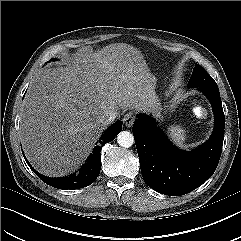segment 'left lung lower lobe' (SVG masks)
I'll return each mask as SVG.
<instances>
[{"instance_id": "left-lung-lower-lobe-1", "label": "left lung lower lobe", "mask_w": 241, "mask_h": 241, "mask_svg": "<svg viewBox=\"0 0 241 241\" xmlns=\"http://www.w3.org/2000/svg\"><path fill=\"white\" fill-rule=\"evenodd\" d=\"M212 104L215 127L202 146L182 151L165 137L155 120L139 115L132 131L144 182L155 191L181 196L201 186L218 165L224 139L225 117L219 89L198 88Z\"/></svg>"}]
</instances>
